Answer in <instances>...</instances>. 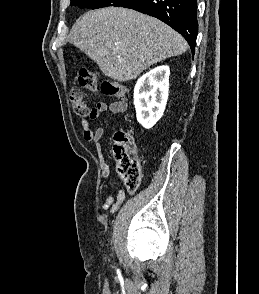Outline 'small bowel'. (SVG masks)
I'll return each instance as SVG.
<instances>
[{
	"label": "small bowel",
	"mask_w": 259,
	"mask_h": 294,
	"mask_svg": "<svg viewBox=\"0 0 259 294\" xmlns=\"http://www.w3.org/2000/svg\"><path fill=\"white\" fill-rule=\"evenodd\" d=\"M127 109V105L124 102H113L111 104H108L104 101H99L94 108H92L90 118L96 119L101 114L106 112H111L113 114L123 113ZM82 125V131H83V137L86 141L93 142L96 147V152L101 160V175L103 178H107L110 176V167L105 162L103 158V150L102 146L100 144V141L102 137L104 136V129L103 128H96L92 130L90 128V125L86 119L81 120ZM125 198V192L123 190H119L116 194V196L108 195L103 204L102 208L104 210L109 211L110 213L115 212L119 205L122 203V201Z\"/></svg>",
	"instance_id": "small-bowel-1"
}]
</instances>
